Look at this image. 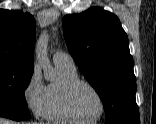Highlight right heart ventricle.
Returning a JSON list of instances; mask_svg holds the SVG:
<instances>
[{
  "label": "right heart ventricle",
  "mask_w": 156,
  "mask_h": 124,
  "mask_svg": "<svg viewBox=\"0 0 156 124\" xmlns=\"http://www.w3.org/2000/svg\"><path fill=\"white\" fill-rule=\"evenodd\" d=\"M60 73V78L47 86V115L46 118L52 123L77 124L67 112L64 103V88L75 80L79 79L76 68L56 65Z\"/></svg>",
  "instance_id": "1"
}]
</instances>
